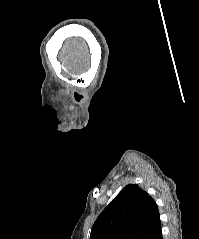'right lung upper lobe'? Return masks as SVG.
I'll list each match as a JSON object with an SVG mask.
<instances>
[{"label": "right lung upper lobe", "mask_w": 199, "mask_h": 239, "mask_svg": "<svg viewBox=\"0 0 199 239\" xmlns=\"http://www.w3.org/2000/svg\"><path fill=\"white\" fill-rule=\"evenodd\" d=\"M160 219L152 197L129 184L95 221L90 239H141Z\"/></svg>", "instance_id": "cb5924a9"}]
</instances>
